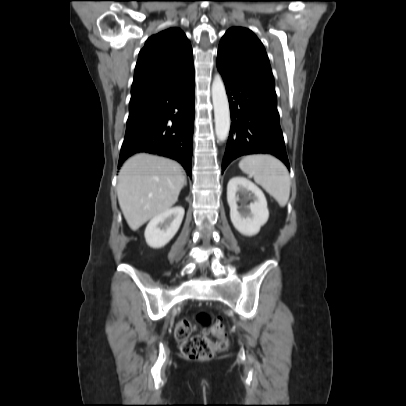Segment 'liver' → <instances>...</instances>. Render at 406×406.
<instances>
[{
    "mask_svg": "<svg viewBox=\"0 0 406 406\" xmlns=\"http://www.w3.org/2000/svg\"><path fill=\"white\" fill-rule=\"evenodd\" d=\"M186 177L179 163L139 153L122 166L117 183L120 208L136 231L148 220L170 209L178 200Z\"/></svg>",
    "mask_w": 406,
    "mask_h": 406,
    "instance_id": "liver-1",
    "label": "liver"
}]
</instances>
